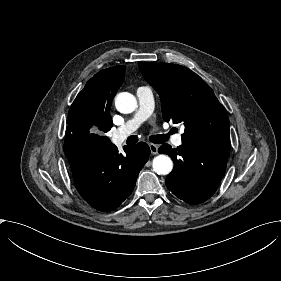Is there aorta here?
I'll use <instances>...</instances> for the list:
<instances>
[{
  "label": "aorta",
  "mask_w": 281,
  "mask_h": 281,
  "mask_svg": "<svg viewBox=\"0 0 281 281\" xmlns=\"http://www.w3.org/2000/svg\"><path fill=\"white\" fill-rule=\"evenodd\" d=\"M116 109L124 114L133 112L137 107V100L134 95L128 92H121L115 99ZM153 170L159 175H167L173 169V161L167 155L160 154L153 159Z\"/></svg>",
  "instance_id": "obj_1"
}]
</instances>
